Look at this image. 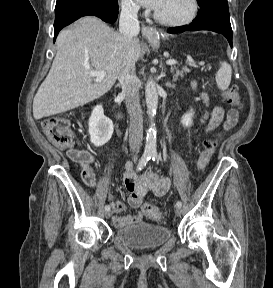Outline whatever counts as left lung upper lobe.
<instances>
[{
    "label": "left lung upper lobe",
    "instance_id": "5c2ea615",
    "mask_svg": "<svg viewBox=\"0 0 273 288\" xmlns=\"http://www.w3.org/2000/svg\"><path fill=\"white\" fill-rule=\"evenodd\" d=\"M198 4L201 7L213 4V3H217V2H226L227 0H197Z\"/></svg>",
    "mask_w": 273,
    "mask_h": 288
}]
</instances>
